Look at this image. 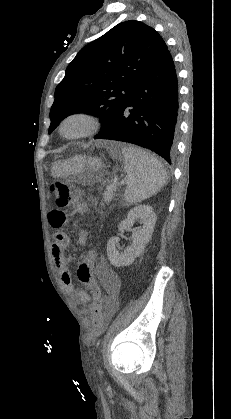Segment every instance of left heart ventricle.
I'll return each instance as SVG.
<instances>
[{
	"mask_svg": "<svg viewBox=\"0 0 231 419\" xmlns=\"http://www.w3.org/2000/svg\"><path fill=\"white\" fill-rule=\"evenodd\" d=\"M85 128V123L82 120L74 119L65 125V132L68 134H75Z\"/></svg>",
	"mask_w": 231,
	"mask_h": 419,
	"instance_id": "left-heart-ventricle-1",
	"label": "left heart ventricle"
}]
</instances>
